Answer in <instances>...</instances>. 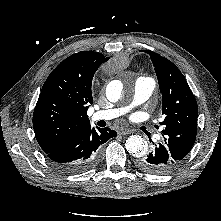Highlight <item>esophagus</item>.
Returning <instances> with one entry per match:
<instances>
[{"label": "esophagus", "instance_id": "1", "mask_svg": "<svg viewBox=\"0 0 221 221\" xmlns=\"http://www.w3.org/2000/svg\"><path fill=\"white\" fill-rule=\"evenodd\" d=\"M118 133H119L120 135H128V134H131L132 131L129 130V129H126V128H122V129L119 130Z\"/></svg>", "mask_w": 221, "mask_h": 221}]
</instances>
